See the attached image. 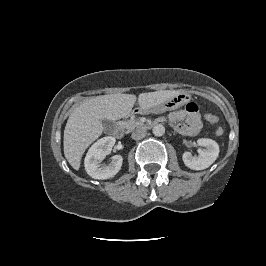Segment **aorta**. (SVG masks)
Segmentation results:
<instances>
[{
	"label": "aorta",
	"mask_w": 266,
	"mask_h": 266,
	"mask_svg": "<svg viewBox=\"0 0 266 266\" xmlns=\"http://www.w3.org/2000/svg\"><path fill=\"white\" fill-rule=\"evenodd\" d=\"M152 132L155 136H163L165 133V127L162 124H157L153 127Z\"/></svg>",
	"instance_id": "1"
}]
</instances>
